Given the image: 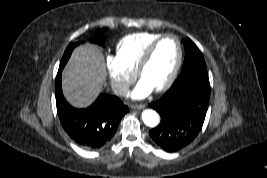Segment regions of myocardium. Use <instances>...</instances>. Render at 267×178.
Instances as JSON below:
<instances>
[{"label":"myocardium","instance_id":"1","mask_svg":"<svg viewBox=\"0 0 267 178\" xmlns=\"http://www.w3.org/2000/svg\"><path fill=\"white\" fill-rule=\"evenodd\" d=\"M173 38L178 46V56H177V60L176 63L169 75V77L167 78V80L159 87H157L156 89H153L155 92L160 93L163 91H166L167 89H169L171 87V85L174 83L178 72L180 70V67L182 65V61H183V46H182V42L179 39L178 36H176L175 34H163L162 36H160L159 38H157L156 40H154L145 50V52L143 53L142 57L140 58L139 62H138V66L136 69V75L138 78L141 79V74L144 70V68L147 66V64L149 63L155 49L157 48V46L166 38Z\"/></svg>","mask_w":267,"mask_h":178}]
</instances>
